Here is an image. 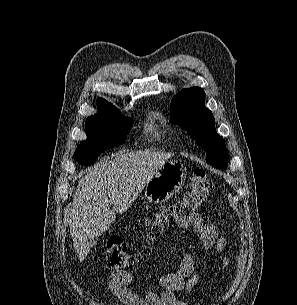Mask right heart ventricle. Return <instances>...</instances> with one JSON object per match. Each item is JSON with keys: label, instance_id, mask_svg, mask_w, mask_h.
Instances as JSON below:
<instances>
[{"label": "right heart ventricle", "instance_id": "1", "mask_svg": "<svg viewBox=\"0 0 297 305\" xmlns=\"http://www.w3.org/2000/svg\"><path fill=\"white\" fill-rule=\"evenodd\" d=\"M149 132H150V134L152 135L153 138H155V139L159 138V133L153 125H150Z\"/></svg>", "mask_w": 297, "mask_h": 305}]
</instances>
